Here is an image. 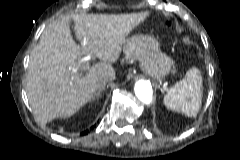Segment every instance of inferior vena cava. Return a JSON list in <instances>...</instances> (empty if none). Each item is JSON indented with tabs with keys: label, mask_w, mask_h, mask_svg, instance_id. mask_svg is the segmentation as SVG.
Masks as SVG:
<instances>
[{
	"label": "inferior vena cava",
	"mask_w": 240,
	"mask_h": 160,
	"mask_svg": "<svg viewBox=\"0 0 240 160\" xmlns=\"http://www.w3.org/2000/svg\"><path fill=\"white\" fill-rule=\"evenodd\" d=\"M110 81L109 78H104L100 82H98V88H104V86L107 84V82Z\"/></svg>",
	"instance_id": "obj_1"
}]
</instances>
